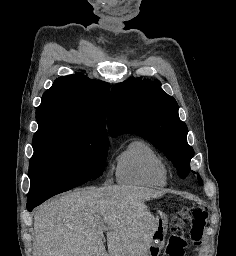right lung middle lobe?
<instances>
[{"label":"right lung middle lobe","instance_id":"right-lung-middle-lobe-1","mask_svg":"<svg viewBox=\"0 0 236 256\" xmlns=\"http://www.w3.org/2000/svg\"><path fill=\"white\" fill-rule=\"evenodd\" d=\"M107 136L67 126H46L34 134L28 199L80 186L102 175Z\"/></svg>","mask_w":236,"mask_h":256}]
</instances>
